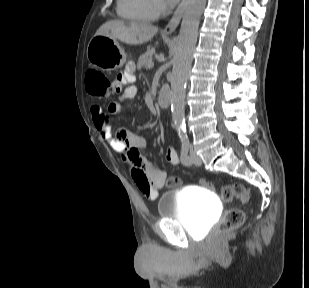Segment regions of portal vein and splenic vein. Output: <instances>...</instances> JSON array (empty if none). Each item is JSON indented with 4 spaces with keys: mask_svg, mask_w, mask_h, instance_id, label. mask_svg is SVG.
<instances>
[{
    "mask_svg": "<svg viewBox=\"0 0 309 288\" xmlns=\"http://www.w3.org/2000/svg\"><path fill=\"white\" fill-rule=\"evenodd\" d=\"M154 66V63L153 62H150L149 64H148V68H151V67H153Z\"/></svg>",
    "mask_w": 309,
    "mask_h": 288,
    "instance_id": "18ae733b",
    "label": "portal vein and splenic vein"
}]
</instances>
